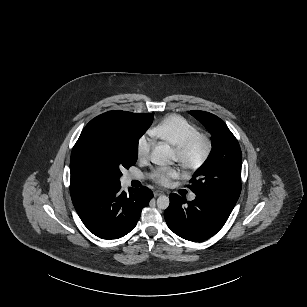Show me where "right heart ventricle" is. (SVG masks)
<instances>
[{
  "label": "right heart ventricle",
  "instance_id": "right-heart-ventricle-1",
  "mask_svg": "<svg viewBox=\"0 0 307 307\" xmlns=\"http://www.w3.org/2000/svg\"><path fill=\"white\" fill-rule=\"evenodd\" d=\"M147 133L153 139L155 147L166 143L170 147L176 148L195 137L197 130L184 118L168 115L158 123L149 126Z\"/></svg>",
  "mask_w": 307,
  "mask_h": 307
}]
</instances>
